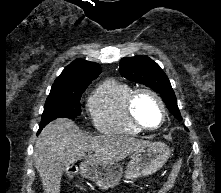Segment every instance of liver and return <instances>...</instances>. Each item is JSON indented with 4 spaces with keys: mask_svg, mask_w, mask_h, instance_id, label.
Returning a JSON list of instances; mask_svg holds the SVG:
<instances>
[{
    "mask_svg": "<svg viewBox=\"0 0 221 193\" xmlns=\"http://www.w3.org/2000/svg\"><path fill=\"white\" fill-rule=\"evenodd\" d=\"M148 143L131 136H88L73 121L60 118L41 131L34 147V165L44 192L60 193L63 172L76 161L114 164Z\"/></svg>",
    "mask_w": 221,
    "mask_h": 193,
    "instance_id": "obj_1",
    "label": "liver"
}]
</instances>
